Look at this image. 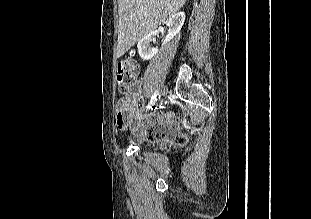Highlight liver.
Here are the masks:
<instances>
[{"label":"liver","instance_id":"6515ba94","mask_svg":"<svg viewBox=\"0 0 311 219\" xmlns=\"http://www.w3.org/2000/svg\"><path fill=\"white\" fill-rule=\"evenodd\" d=\"M185 2L186 0H118L117 57L175 15Z\"/></svg>","mask_w":311,"mask_h":219}]
</instances>
